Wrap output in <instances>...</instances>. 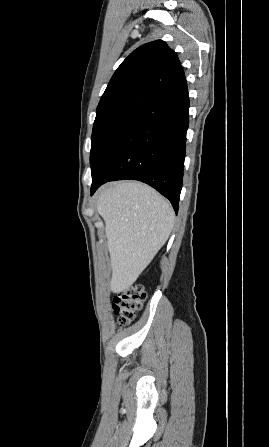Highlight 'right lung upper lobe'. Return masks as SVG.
Listing matches in <instances>:
<instances>
[{
	"instance_id": "right-lung-upper-lobe-1",
	"label": "right lung upper lobe",
	"mask_w": 269,
	"mask_h": 447,
	"mask_svg": "<svg viewBox=\"0 0 269 447\" xmlns=\"http://www.w3.org/2000/svg\"><path fill=\"white\" fill-rule=\"evenodd\" d=\"M185 78L180 61L164 41L132 52L112 76L98 104L97 116L121 107L142 108L167 87Z\"/></svg>"
}]
</instances>
